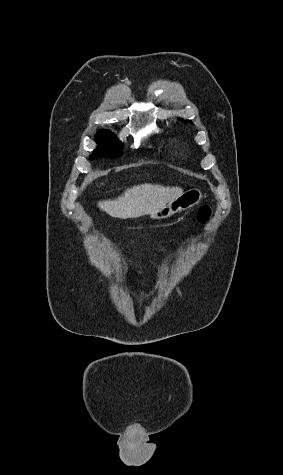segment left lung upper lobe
<instances>
[{"label":"left lung upper lobe","mask_w":283,"mask_h":475,"mask_svg":"<svg viewBox=\"0 0 283 475\" xmlns=\"http://www.w3.org/2000/svg\"><path fill=\"white\" fill-rule=\"evenodd\" d=\"M184 122H190V123H192L190 120H186V121H184Z\"/></svg>","instance_id":"obj_1"}]
</instances>
